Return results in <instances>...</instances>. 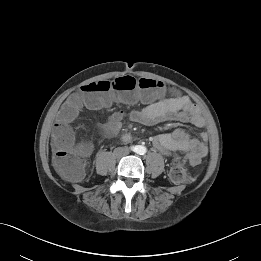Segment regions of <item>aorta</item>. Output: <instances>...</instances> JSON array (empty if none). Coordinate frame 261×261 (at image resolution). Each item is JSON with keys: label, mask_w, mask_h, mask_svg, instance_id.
I'll return each mask as SVG.
<instances>
[{"label": "aorta", "mask_w": 261, "mask_h": 261, "mask_svg": "<svg viewBox=\"0 0 261 261\" xmlns=\"http://www.w3.org/2000/svg\"><path fill=\"white\" fill-rule=\"evenodd\" d=\"M135 150L138 154H145L146 153V147H144L142 145L136 146Z\"/></svg>", "instance_id": "1"}]
</instances>
